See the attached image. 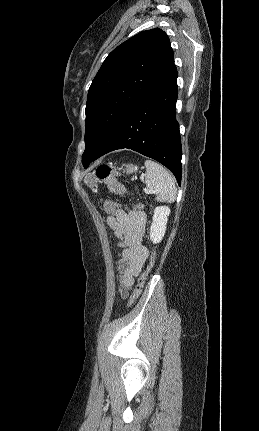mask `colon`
<instances>
[{"label": "colon", "mask_w": 259, "mask_h": 431, "mask_svg": "<svg viewBox=\"0 0 259 431\" xmlns=\"http://www.w3.org/2000/svg\"><path fill=\"white\" fill-rule=\"evenodd\" d=\"M96 177L105 182L110 189V191L117 195H123L125 194V188L124 186L119 182L118 177L119 173L113 169V167L108 163H103L99 165L95 170ZM125 208H135V205H125L120 200H117L115 203L113 201H105L103 203V210L107 212V214L110 217L117 216L118 217H124V211ZM137 209L143 210L144 204L143 203H137ZM155 262V250L151 252L150 259L148 261V264L144 271L140 274L138 277L137 283L135 285V288L130 296L128 306H133L138 298L140 297L144 284L146 282V279L154 265Z\"/></svg>", "instance_id": "obj_1"}]
</instances>
